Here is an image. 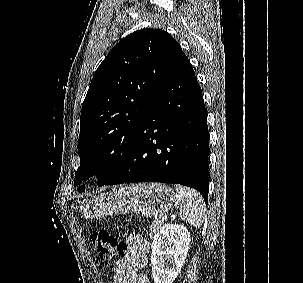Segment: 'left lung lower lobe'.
Segmentation results:
<instances>
[{"label": "left lung lower lobe", "mask_w": 303, "mask_h": 283, "mask_svg": "<svg viewBox=\"0 0 303 283\" xmlns=\"http://www.w3.org/2000/svg\"><path fill=\"white\" fill-rule=\"evenodd\" d=\"M207 112L194 70L183 51L165 74L121 168L104 185L181 184L208 199Z\"/></svg>", "instance_id": "0a47b994"}]
</instances>
